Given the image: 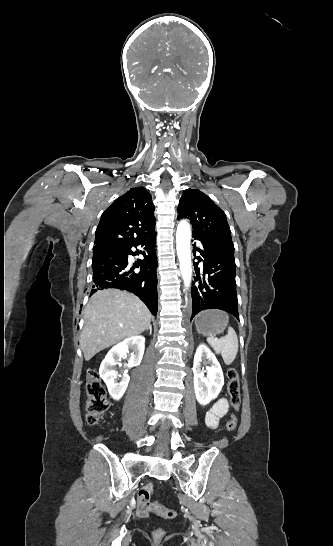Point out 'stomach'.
<instances>
[{
  "mask_svg": "<svg viewBox=\"0 0 333 546\" xmlns=\"http://www.w3.org/2000/svg\"><path fill=\"white\" fill-rule=\"evenodd\" d=\"M228 317L218 310H207L197 315L195 325L203 336H215L223 333L228 325Z\"/></svg>",
  "mask_w": 333,
  "mask_h": 546,
  "instance_id": "0dacf381",
  "label": "stomach"
}]
</instances>
